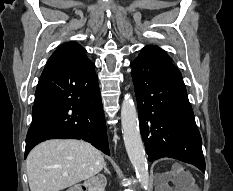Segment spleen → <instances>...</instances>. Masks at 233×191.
<instances>
[{"mask_svg": "<svg viewBox=\"0 0 233 191\" xmlns=\"http://www.w3.org/2000/svg\"><path fill=\"white\" fill-rule=\"evenodd\" d=\"M181 174L184 175L185 173L183 171H181Z\"/></svg>", "mask_w": 233, "mask_h": 191, "instance_id": "1", "label": "spleen"}]
</instances>
